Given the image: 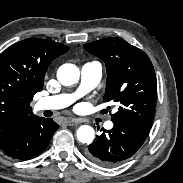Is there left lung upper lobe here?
Listing matches in <instances>:
<instances>
[{
  "label": "left lung upper lobe",
  "mask_w": 183,
  "mask_h": 183,
  "mask_svg": "<svg viewBox=\"0 0 183 183\" xmlns=\"http://www.w3.org/2000/svg\"><path fill=\"white\" fill-rule=\"evenodd\" d=\"M107 66L104 102L114 103L113 121H128L150 131L157 96L154 67L149 57L125 40L112 37L83 45ZM110 107L101 111L107 113Z\"/></svg>",
  "instance_id": "5c2ea615"
}]
</instances>
